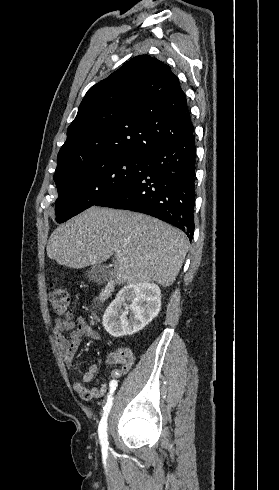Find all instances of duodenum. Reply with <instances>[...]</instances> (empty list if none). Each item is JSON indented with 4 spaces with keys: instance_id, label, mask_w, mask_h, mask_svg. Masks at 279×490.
Returning <instances> with one entry per match:
<instances>
[{
    "instance_id": "1",
    "label": "duodenum",
    "mask_w": 279,
    "mask_h": 490,
    "mask_svg": "<svg viewBox=\"0 0 279 490\" xmlns=\"http://www.w3.org/2000/svg\"><path fill=\"white\" fill-rule=\"evenodd\" d=\"M114 290V282L113 281H109L103 288L102 290L100 291L99 293V296L97 298V301L98 302H103L105 301L107 298L110 297L111 293L113 292Z\"/></svg>"
}]
</instances>
